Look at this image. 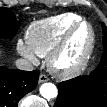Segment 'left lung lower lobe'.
Instances as JSON below:
<instances>
[{
    "label": "left lung lower lobe",
    "mask_w": 107,
    "mask_h": 107,
    "mask_svg": "<svg viewBox=\"0 0 107 107\" xmlns=\"http://www.w3.org/2000/svg\"><path fill=\"white\" fill-rule=\"evenodd\" d=\"M106 58L90 75L59 83L54 107H107Z\"/></svg>",
    "instance_id": "1"
}]
</instances>
